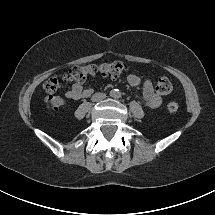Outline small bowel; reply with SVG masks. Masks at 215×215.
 Returning <instances> with one entry per match:
<instances>
[{
    "label": "small bowel",
    "instance_id": "small-bowel-1",
    "mask_svg": "<svg viewBox=\"0 0 215 215\" xmlns=\"http://www.w3.org/2000/svg\"><path fill=\"white\" fill-rule=\"evenodd\" d=\"M127 82L131 87H137L141 84V79L135 74H130L127 77ZM92 88H85L81 83H75L72 88L66 93L68 99H82L91 96ZM142 97L144 104L151 109L158 108L161 104V97L155 92L153 84L150 80H145L142 85Z\"/></svg>",
    "mask_w": 215,
    "mask_h": 215
}]
</instances>
